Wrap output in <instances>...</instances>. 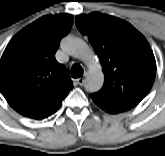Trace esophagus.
<instances>
[{"mask_svg":"<svg viewBox=\"0 0 165 156\" xmlns=\"http://www.w3.org/2000/svg\"><path fill=\"white\" fill-rule=\"evenodd\" d=\"M76 82H77L78 85L82 86L85 82V79L83 77H80L76 80Z\"/></svg>","mask_w":165,"mask_h":156,"instance_id":"34e87169","label":"esophagus"}]
</instances>
